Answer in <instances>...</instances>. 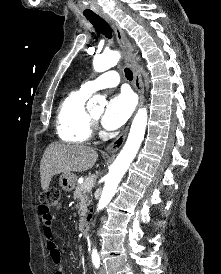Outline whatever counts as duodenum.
<instances>
[{
  "instance_id": "1",
  "label": "duodenum",
  "mask_w": 221,
  "mask_h": 274,
  "mask_svg": "<svg viewBox=\"0 0 221 274\" xmlns=\"http://www.w3.org/2000/svg\"><path fill=\"white\" fill-rule=\"evenodd\" d=\"M89 218L87 221L83 222L81 227H80V235L82 238H86L87 235L89 234V229H90V226H89Z\"/></svg>"
}]
</instances>
